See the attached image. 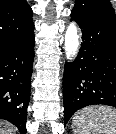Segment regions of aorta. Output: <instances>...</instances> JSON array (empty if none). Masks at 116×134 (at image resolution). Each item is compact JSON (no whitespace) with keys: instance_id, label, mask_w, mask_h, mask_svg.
Returning a JSON list of instances; mask_svg holds the SVG:
<instances>
[{"instance_id":"obj_1","label":"aorta","mask_w":116,"mask_h":134,"mask_svg":"<svg viewBox=\"0 0 116 134\" xmlns=\"http://www.w3.org/2000/svg\"><path fill=\"white\" fill-rule=\"evenodd\" d=\"M65 54L68 60H73L79 48V37L77 27L71 23L65 33Z\"/></svg>"}]
</instances>
